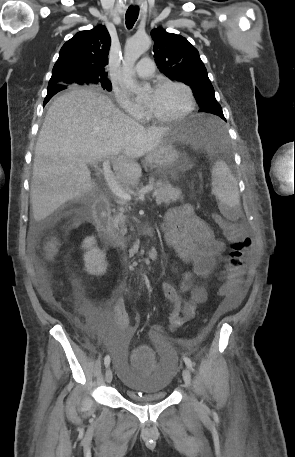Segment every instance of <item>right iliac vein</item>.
Masks as SVG:
<instances>
[{"instance_id": "obj_1", "label": "right iliac vein", "mask_w": 295, "mask_h": 457, "mask_svg": "<svg viewBox=\"0 0 295 457\" xmlns=\"http://www.w3.org/2000/svg\"><path fill=\"white\" fill-rule=\"evenodd\" d=\"M112 378H113L112 370H111L110 368H108V369L106 370V373H105L106 382H107V383H111Z\"/></svg>"}]
</instances>
